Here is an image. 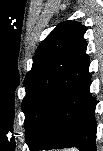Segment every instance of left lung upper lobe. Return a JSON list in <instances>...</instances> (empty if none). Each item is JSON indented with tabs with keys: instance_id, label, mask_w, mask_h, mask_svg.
<instances>
[{
	"instance_id": "obj_1",
	"label": "left lung upper lobe",
	"mask_w": 103,
	"mask_h": 151,
	"mask_svg": "<svg viewBox=\"0 0 103 151\" xmlns=\"http://www.w3.org/2000/svg\"><path fill=\"white\" fill-rule=\"evenodd\" d=\"M87 27L77 21H64L46 37L39 45L33 58L31 70L26 74L23 86L26 96L22 101V110L26 113L27 101L30 93L31 81L48 65L54 58L67 50L83 37Z\"/></svg>"
}]
</instances>
